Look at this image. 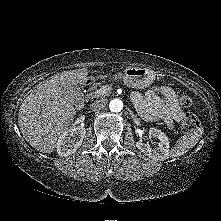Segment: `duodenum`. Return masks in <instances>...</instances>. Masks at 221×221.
Wrapping results in <instances>:
<instances>
[{"label":"duodenum","instance_id":"410a0bca","mask_svg":"<svg viewBox=\"0 0 221 221\" xmlns=\"http://www.w3.org/2000/svg\"><path fill=\"white\" fill-rule=\"evenodd\" d=\"M93 84H94V80L91 79V78H89V79H87V80L85 81L84 86H85L86 88H90L91 86H93Z\"/></svg>","mask_w":221,"mask_h":221}]
</instances>
